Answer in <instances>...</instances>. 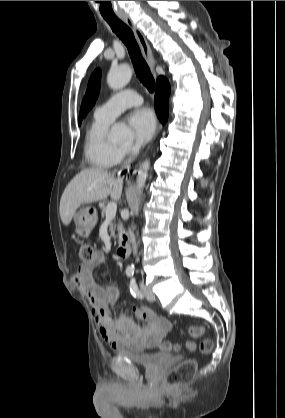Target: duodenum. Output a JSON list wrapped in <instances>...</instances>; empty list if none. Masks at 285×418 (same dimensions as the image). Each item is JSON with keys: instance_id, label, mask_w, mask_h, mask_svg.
Here are the masks:
<instances>
[{"instance_id": "duodenum-1", "label": "duodenum", "mask_w": 285, "mask_h": 418, "mask_svg": "<svg viewBox=\"0 0 285 418\" xmlns=\"http://www.w3.org/2000/svg\"><path fill=\"white\" fill-rule=\"evenodd\" d=\"M131 247L129 241L125 240L119 247H118V255L120 257L126 258L130 256Z\"/></svg>"}]
</instances>
